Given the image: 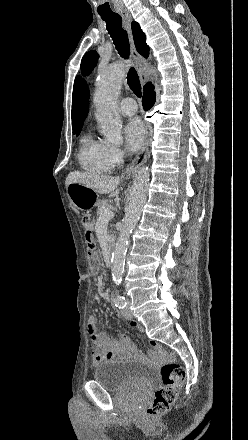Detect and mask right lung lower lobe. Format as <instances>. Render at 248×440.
<instances>
[{
	"label": "right lung lower lobe",
	"instance_id": "98d812e1",
	"mask_svg": "<svg viewBox=\"0 0 248 440\" xmlns=\"http://www.w3.org/2000/svg\"><path fill=\"white\" fill-rule=\"evenodd\" d=\"M154 87L151 83H148L144 87V96H143V107L145 110H149L155 103V92L153 91Z\"/></svg>",
	"mask_w": 248,
	"mask_h": 440
}]
</instances>
